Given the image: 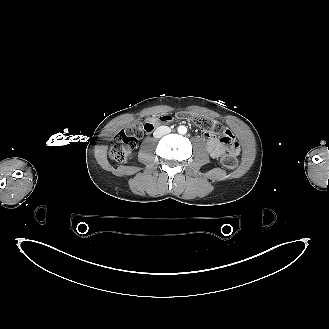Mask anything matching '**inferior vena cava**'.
Returning <instances> with one entry per match:
<instances>
[{"mask_svg": "<svg viewBox=\"0 0 329 329\" xmlns=\"http://www.w3.org/2000/svg\"><path fill=\"white\" fill-rule=\"evenodd\" d=\"M170 132H171V129L168 126H160L154 131L153 136L155 138H161L162 136H164Z\"/></svg>", "mask_w": 329, "mask_h": 329, "instance_id": "1", "label": "inferior vena cava"}]
</instances>
